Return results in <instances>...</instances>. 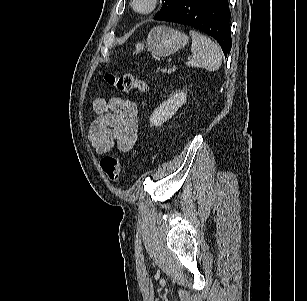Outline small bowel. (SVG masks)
I'll return each instance as SVG.
<instances>
[{"label": "small bowel", "instance_id": "1", "mask_svg": "<svg viewBox=\"0 0 307 301\" xmlns=\"http://www.w3.org/2000/svg\"><path fill=\"white\" fill-rule=\"evenodd\" d=\"M93 111L97 118L89 130V140L99 155L111 152L116 146L121 152L130 151L138 136V106L121 97L109 100L96 98Z\"/></svg>", "mask_w": 307, "mask_h": 301}]
</instances>
